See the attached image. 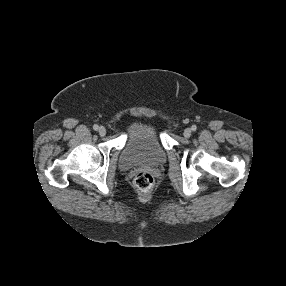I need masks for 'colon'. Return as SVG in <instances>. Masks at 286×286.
Masks as SVG:
<instances>
[{"label":"colon","instance_id":"obj_1","mask_svg":"<svg viewBox=\"0 0 286 286\" xmlns=\"http://www.w3.org/2000/svg\"><path fill=\"white\" fill-rule=\"evenodd\" d=\"M154 184V178L147 172H141L134 178V185L140 191H149Z\"/></svg>","mask_w":286,"mask_h":286}]
</instances>
